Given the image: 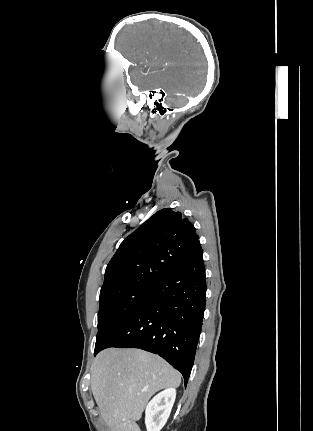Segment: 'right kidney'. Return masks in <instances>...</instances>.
I'll use <instances>...</instances> for the list:
<instances>
[{"mask_svg":"<svg viewBox=\"0 0 313 431\" xmlns=\"http://www.w3.org/2000/svg\"><path fill=\"white\" fill-rule=\"evenodd\" d=\"M176 398L175 388H167L157 394L146 406L147 431H160L166 424Z\"/></svg>","mask_w":313,"mask_h":431,"instance_id":"right-kidney-1","label":"right kidney"}]
</instances>
